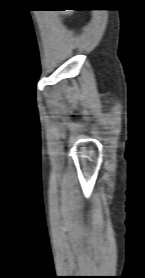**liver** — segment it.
Wrapping results in <instances>:
<instances>
[{
  "label": "liver",
  "instance_id": "liver-1",
  "mask_svg": "<svg viewBox=\"0 0 145 278\" xmlns=\"http://www.w3.org/2000/svg\"><path fill=\"white\" fill-rule=\"evenodd\" d=\"M64 14L68 15V14H71V12L70 11H65Z\"/></svg>",
  "mask_w": 145,
  "mask_h": 278
}]
</instances>
